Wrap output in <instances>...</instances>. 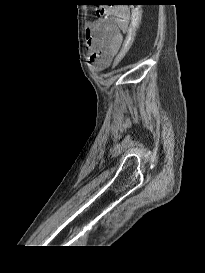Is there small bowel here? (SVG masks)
Masks as SVG:
<instances>
[{
    "label": "small bowel",
    "instance_id": "small-bowel-1",
    "mask_svg": "<svg viewBox=\"0 0 205 273\" xmlns=\"http://www.w3.org/2000/svg\"><path fill=\"white\" fill-rule=\"evenodd\" d=\"M132 20L133 16L121 8L106 6L100 10V18L88 24V56L97 71L111 65L125 42Z\"/></svg>",
    "mask_w": 205,
    "mask_h": 273
}]
</instances>
